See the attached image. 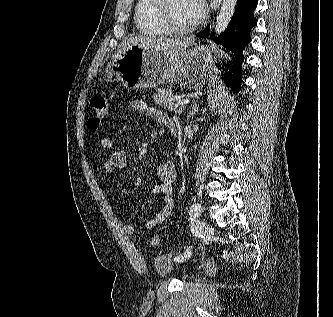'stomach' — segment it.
<instances>
[{
  "label": "stomach",
  "instance_id": "1",
  "mask_svg": "<svg viewBox=\"0 0 333 317\" xmlns=\"http://www.w3.org/2000/svg\"><path fill=\"white\" fill-rule=\"evenodd\" d=\"M217 51L195 45L178 56L153 48L129 45L105 69L107 81H120L129 89L157 87L169 81L180 82L191 89L204 83L209 63ZM211 88H222V81H211Z\"/></svg>",
  "mask_w": 333,
  "mask_h": 317
}]
</instances>
